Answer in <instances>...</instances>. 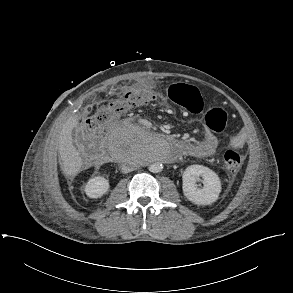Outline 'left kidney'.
<instances>
[{
    "label": "left kidney",
    "mask_w": 293,
    "mask_h": 293,
    "mask_svg": "<svg viewBox=\"0 0 293 293\" xmlns=\"http://www.w3.org/2000/svg\"><path fill=\"white\" fill-rule=\"evenodd\" d=\"M203 178V188H198L196 182ZM183 193L186 198L197 205H209L214 203L221 192V181L218 175L211 169L202 165L187 167L182 176Z\"/></svg>",
    "instance_id": "obj_1"
}]
</instances>
